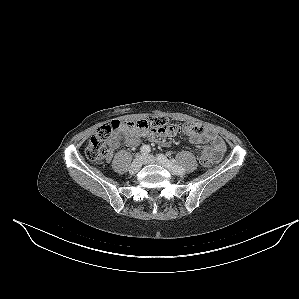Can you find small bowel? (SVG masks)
I'll return each mask as SVG.
<instances>
[{"label": "small bowel", "instance_id": "1", "mask_svg": "<svg viewBox=\"0 0 299 299\" xmlns=\"http://www.w3.org/2000/svg\"><path fill=\"white\" fill-rule=\"evenodd\" d=\"M122 133L125 137V143L130 147L139 145L141 137H149L155 139L157 136H172L171 133H158L149 131L148 129L130 128L122 126ZM189 141L193 144H206L200 154V160L203 157L210 159L213 162H218L226 151V145L223 139L216 133L205 129L189 135ZM162 144H166L164 141ZM118 145V140L113 139L112 149ZM111 149V150H112Z\"/></svg>", "mask_w": 299, "mask_h": 299}]
</instances>
